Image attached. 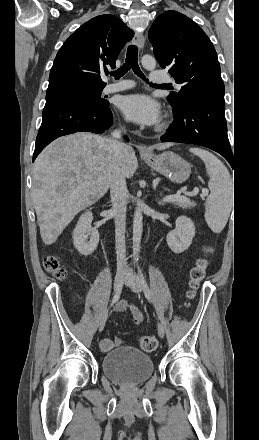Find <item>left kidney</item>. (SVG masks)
<instances>
[{"label": "left kidney", "instance_id": "5707ae66", "mask_svg": "<svg viewBox=\"0 0 259 440\" xmlns=\"http://www.w3.org/2000/svg\"><path fill=\"white\" fill-rule=\"evenodd\" d=\"M175 224V229L167 234L166 241L169 248L179 254L191 245L195 236V227L193 221L186 216L178 217Z\"/></svg>", "mask_w": 259, "mask_h": 440}]
</instances>
